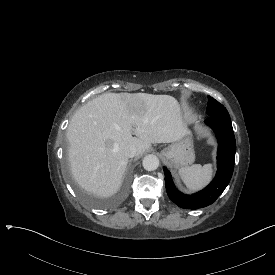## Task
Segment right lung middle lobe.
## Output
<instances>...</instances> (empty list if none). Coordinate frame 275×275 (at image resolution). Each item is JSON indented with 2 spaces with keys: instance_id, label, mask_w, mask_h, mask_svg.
<instances>
[{
  "instance_id": "right-lung-middle-lobe-1",
  "label": "right lung middle lobe",
  "mask_w": 275,
  "mask_h": 275,
  "mask_svg": "<svg viewBox=\"0 0 275 275\" xmlns=\"http://www.w3.org/2000/svg\"><path fill=\"white\" fill-rule=\"evenodd\" d=\"M61 160L64 174L71 182L75 194L78 196V199L82 201V203L85 204L87 207L91 209H108L109 207H114L115 205L119 204L122 201V199H124L127 196L129 186L131 185L133 179L131 174H123V185L121 191L118 193V195H115L111 200L103 202L101 199H96L90 196L89 194H85L83 192L82 187L79 186V181L76 179L75 174L71 171L69 166L67 145L61 146Z\"/></svg>"
}]
</instances>
